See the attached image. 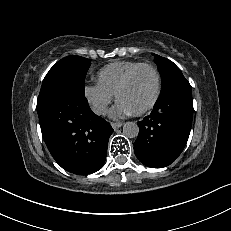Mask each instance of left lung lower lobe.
Listing matches in <instances>:
<instances>
[{
    "label": "left lung lower lobe",
    "mask_w": 231,
    "mask_h": 231,
    "mask_svg": "<svg viewBox=\"0 0 231 231\" xmlns=\"http://www.w3.org/2000/svg\"><path fill=\"white\" fill-rule=\"evenodd\" d=\"M192 116L189 82L183 78L164 87L151 114L138 122L139 135L134 143L137 158L152 168L170 165L186 145Z\"/></svg>",
    "instance_id": "obj_1"
}]
</instances>
